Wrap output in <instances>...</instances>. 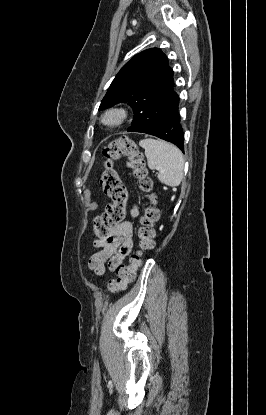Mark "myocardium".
Segmentation results:
<instances>
[{"label":"myocardium","mask_w":266,"mask_h":415,"mask_svg":"<svg viewBox=\"0 0 266 415\" xmlns=\"http://www.w3.org/2000/svg\"><path fill=\"white\" fill-rule=\"evenodd\" d=\"M128 111L121 106H113L108 108L103 116L102 122L110 127H116L123 124L128 118Z\"/></svg>","instance_id":"1"}]
</instances>
